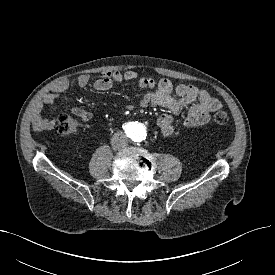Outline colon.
Listing matches in <instances>:
<instances>
[{
    "label": "colon",
    "mask_w": 275,
    "mask_h": 275,
    "mask_svg": "<svg viewBox=\"0 0 275 275\" xmlns=\"http://www.w3.org/2000/svg\"><path fill=\"white\" fill-rule=\"evenodd\" d=\"M214 122L225 125L229 122V115L225 111H218L214 114ZM57 132L63 137H68L78 130L77 120L70 114H61L58 118Z\"/></svg>",
    "instance_id": "5ec220e1"
}]
</instances>
